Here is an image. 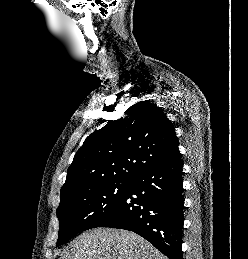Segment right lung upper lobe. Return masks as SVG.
<instances>
[{
  "label": "right lung upper lobe",
  "mask_w": 248,
  "mask_h": 259,
  "mask_svg": "<svg viewBox=\"0 0 248 259\" xmlns=\"http://www.w3.org/2000/svg\"><path fill=\"white\" fill-rule=\"evenodd\" d=\"M125 113L86 138L68 168L61 197L87 184L131 181L180 156L175 130L160 107L141 101Z\"/></svg>",
  "instance_id": "1"
}]
</instances>
